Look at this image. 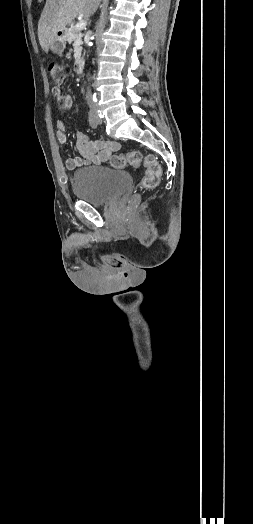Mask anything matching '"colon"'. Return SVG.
Masks as SVG:
<instances>
[{
    "label": "colon",
    "mask_w": 253,
    "mask_h": 524,
    "mask_svg": "<svg viewBox=\"0 0 253 524\" xmlns=\"http://www.w3.org/2000/svg\"><path fill=\"white\" fill-rule=\"evenodd\" d=\"M48 71L56 84H61L69 74L68 67L59 63L49 64ZM142 163L145 166V173L141 185L146 189L154 188L160 182L163 174L162 168L155 157L147 156L143 160V156L139 151H130L114 156L111 161L112 166L118 169L126 166L138 168ZM134 200H137V198Z\"/></svg>",
    "instance_id": "obj_1"
}]
</instances>
